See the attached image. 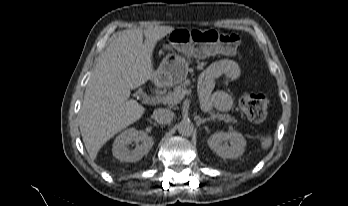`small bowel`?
I'll list each match as a JSON object with an SVG mask.
<instances>
[{
    "mask_svg": "<svg viewBox=\"0 0 348 206\" xmlns=\"http://www.w3.org/2000/svg\"><path fill=\"white\" fill-rule=\"evenodd\" d=\"M242 65L232 59H221L209 65L199 79V97L203 110L208 111L216 107L220 111H229L233 106L232 95L219 90L214 94L215 82L219 79L224 81H235L242 76Z\"/></svg>",
    "mask_w": 348,
    "mask_h": 206,
    "instance_id": "c3829d8e",
    "label": "small bowel"
}]
</instances>
